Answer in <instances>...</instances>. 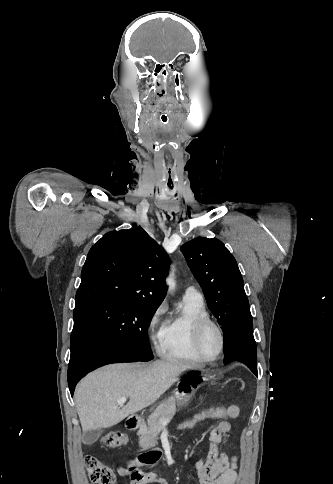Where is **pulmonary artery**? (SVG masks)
Here are the masks:
<instances>
[{"mask_svg": "<svg viewBox=\"0 0 333 484\" xmlns=\"http://www.w3.org/2000/svg\"><path fill=\"white\" fill-rule=\"evenodd\" d=\"M185 295L186 296H194V297H198V298L203 297L201 291L195 286L187 287V289L185 291Z\"/></svg>", "mask_w": 333, "mask_h": 484, "instance_id": "obj_1", "label": "pulmonary artery"}]
</instances>
